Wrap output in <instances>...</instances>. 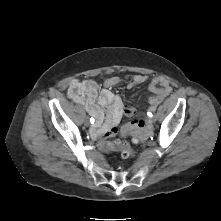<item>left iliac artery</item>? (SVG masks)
I'll use <instances>...</instances> for the list:
<instances>
[{
  "label": "left iliac artery",
  "instance_id": "1",
  "mask_svg": "<svg viewBox=\"0 0 221 221\" xmlns=\"http://www.w3.org/2000/svg\"><path fill=\"white\" fill-rule=\"evenodd\" d=\"M152 110L155 111V108L152 107ZM148 115L151 116V117L153 116L152 113H148Z\"/></svg>",
  "mask_w": 221,
  "mask_h": 221
}]
</instances>
